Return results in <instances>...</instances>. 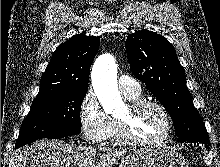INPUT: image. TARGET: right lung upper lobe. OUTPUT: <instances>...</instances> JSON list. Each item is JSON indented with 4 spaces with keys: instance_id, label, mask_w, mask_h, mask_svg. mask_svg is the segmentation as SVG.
Listing matches in <instances>:
<instances>
[{
    "instance_id": "obj_1",
    "label": "right lung upper lobe",
    "mask_w": 220,
    "mask_h": 167,
    "mask_svg": "<svg viewBox=\"0 0 220 167\" xmlns=\"http://www.w3.org/2000/svg\"><path fill=\"white\" fill-rule=\"evenodd\" d=\"M99 46L98 37L79 34L59 45L42 76L35 100L65 89L88 88L90 67Z\"/></svg>"
}]
</instances>
